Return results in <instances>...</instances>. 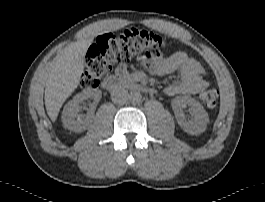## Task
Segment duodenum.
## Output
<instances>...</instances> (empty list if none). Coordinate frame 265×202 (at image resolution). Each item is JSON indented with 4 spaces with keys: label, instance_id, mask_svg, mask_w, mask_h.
<instances>
[{
    "label": "duodenum",
    "instance_id": "obj_1",
    "mask_svg": "<svg viewBox=\"0 0 265 202\" xmlns=\"http://www.w3.org/2000/svg\"><path fill=\"white\" fill-rule=\"evenodd\" d=\"M102 87L110 92H115L119 88L129 87L133 90L143 91L147 94L152 93V89L149 86L142 85L138 82L132 81L128 78L106 76L102 80Z\"/></svg>",
    "mask_w": 265,
    "mask_h": 202
}]
</instances>
